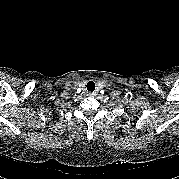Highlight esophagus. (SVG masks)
I'll list each match as a JSON object with an SVG mask.
<instances>
[{"mask_svg":"<svg viewBox=\"0 0 179 179\" xmlns=\"http://www.w3.org/2000/svg\"><path fill=\"white\" fill-rule=\"evenodd\" d=\"M95 94L93 92H87V96L93 97Z\"/></svg>","mask_w":179,"mask_h":179,"instance_id":"esophagus-1","label":"esophagus"}]
</instances>
